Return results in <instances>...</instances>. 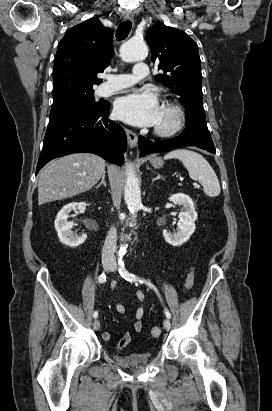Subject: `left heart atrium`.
<instances>
[{
  "label": "left heart atrium",
  "instance_id": "left-heart-atrium-1",
  "mask_svg": "<svg viewBox=\"0 0 272 411\" xmlns=\"http://www.w3.org/2000/svg\"><path fill=\"white\" fill-rule=\"evenodd\" d=\"M114 112L116 117L135 126H151L161 118L156 96L147 91H134L118 98Z\"/></svg>",
  "mask_w": 272,
  "mask_h": 411
}]
</instances>
